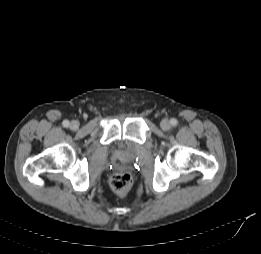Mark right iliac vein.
Here are the masks:
<instances>
[{
  "mask_svg": "<svg viewBox=\"0 0 261 254\" xmlns=\"http://www.w3.org/2000/svg\"><path fill=\"white\" fill-rule=\"evenodd\" d=\"M70 128H71L72 130H77V129L79 128V122L76 121V120L71 121V123H70Z\"/></svg>",
  "mask_w": 261,
  "mask_h": 254,
  "instance_id": "right-iliac-vein-1",
  "label": "right iliac vein"
}]
</instances>
